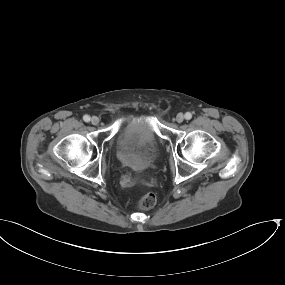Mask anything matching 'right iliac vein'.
<instances>
[{
  "label": "right iliac vein",
  "instance_id": "63e3f726",
  "mask_svg": "<svg viewBox=\"0 0 285 285\" xmlns=\"http://www.w3.org/2000/svg\"><path fill=\"white\" fill-rule=\"evenodd\" d=\"M99 122H100V120H99L98 117L93 116V117L91 118V123H92L93 125H98Z\"/></svg>",
  "mask_w": 285,
  "mask_h": 285
}]
</instances>
